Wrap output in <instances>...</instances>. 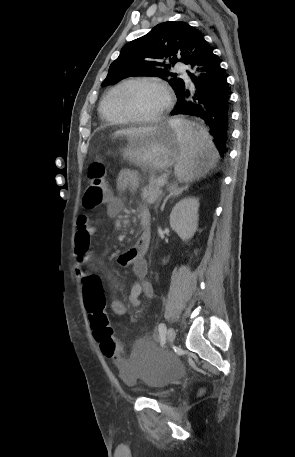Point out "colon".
Returning <instances> with one entry per match:
<instances>
[{
    "instance_id": "obj_1",
    "label": "colon",
    "mask_w": 295,
    "mask_h": 457,
    "mask_svg": "<svg viewBox=\"0 0 295 457\" xmlns=\"http://www.w3.org/2000/svg\"><path fill=\"white\" fill-rule=\"evenodd\" d=\"M110 193L107 187L106 168L101 161H93L88 169L87 187L83 196V207L92 210L108 201ZM84 296L86 308L90 314V322L94 337L99 343L102 352L112 357V362L119 363L125 359V352L121 351V343L116 342L105 311L102 292V279L96 276L89 277L84 282Z\"/></svg>"
}]
</instances>
